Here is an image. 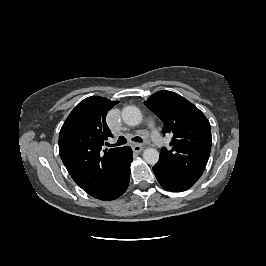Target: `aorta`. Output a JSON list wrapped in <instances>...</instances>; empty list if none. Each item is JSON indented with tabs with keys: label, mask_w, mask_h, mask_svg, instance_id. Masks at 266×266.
<instances>
[{
	"label": "aorta",
	"mask_w": 266,
	"mask_h": 266,
	"mask_svg": "<svg viewBox=\"0 0 266 266\" xmlns=\"http://www.w3.org/2000/svg\"><path fill=\"white\" fill-rule=\"evenodd\" d=\"M123 121L130 126L141 123L142 113L136 106H126L122 110ZM143 159L150 165H155L159 160V152L155 148H147L143 152Z\"/></svg>",
	"instance_id": "1"
}]
</instances>
